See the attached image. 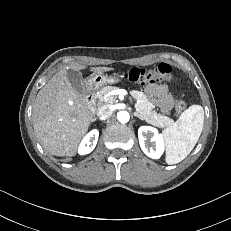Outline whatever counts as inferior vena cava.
I'll return each mask as SVG.
<instances>
[{
    "mask_svg": "<svg viewBox=\"0 0 231 231\" xmlns=\"http://www.w3.org/2000/svg\"><path fill=\"white\" fill-rule=\"evenodd\" d=\"M112 115V110L108 105L99 106L97 109V117L100 120H106Z\"/></svg>",
    "mask_w": 231,
    "mask_h": 231,
    "instance_id": "obj_1",
    "label": "inferior vena cava"
}]
</instances>
